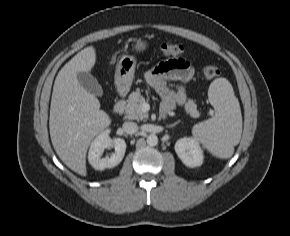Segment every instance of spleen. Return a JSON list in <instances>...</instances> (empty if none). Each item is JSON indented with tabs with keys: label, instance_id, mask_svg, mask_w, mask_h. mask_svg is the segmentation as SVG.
Wrapping results in <instances>:
<instances>
[{
	"label": "spleen",
	"instance_id": "spleen-1",
	"mask_svg": "<svg viewBox=\"0 0 290 236\" xmlns=\"http://www.w3.org/2000/svg\"><path fill=\"white\" fill-rule=\"evenodd\" d=\"M208 97L215 115L194 125L192 134L214 156L227 159L233 155L234 146L241 138L240 104L226 78H217L210 84Z\"/></svg>",
	"mask_w": 290,
	"mask_h": 236
}]
</instances>
